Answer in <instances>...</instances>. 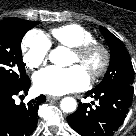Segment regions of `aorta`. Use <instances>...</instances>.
<instances>
[{
  "label": "aorta",
  "mask_w": 136,
  "mask_h": 136,
  "mask_svg": "<svg viewBox=\"0 0 136 136\" xmlns=\"http://www.w3.org/2000/svg\"><path fill=\"white\" fill-rule=\"evenodd\" d=\"M66 50L64 48H55L49 54V60L57 66L68 65L66 59ZM76 100L72 97H65L60 103L62 111L66 113H71L76 110Z\"/></svg>",
  "instance_id": "aorta-1"
}]
</instances>
